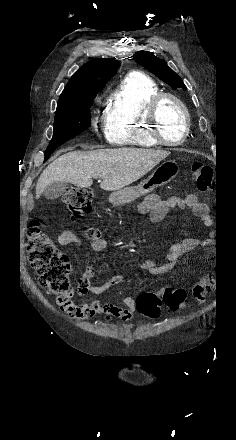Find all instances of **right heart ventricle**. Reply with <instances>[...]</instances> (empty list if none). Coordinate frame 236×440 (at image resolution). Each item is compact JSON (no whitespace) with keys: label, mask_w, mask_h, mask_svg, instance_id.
<instances>
[{"label":"right heart ventricle","mask_w":236,"mask_h":440,"mask_svg":"<svg viewBox=\"0 0 236 440\" xmlns=\"http://www.w3.org/2000/svg\"><path fill=\"white\" fill-rule=\"evenodd\" d=\"M159 92L158 84L142 73L126 75L108 99L104 119L107 141L115 146H158L149 132L146 108Z\"/></svg>","instance_id":"1"}]
</instances>
